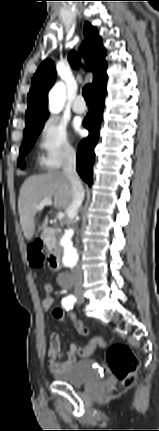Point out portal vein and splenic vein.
<instances>
[{
	"label": "portal vein and splenic vein",
	"instance_id": "obj_1",
	"mask_svg": "<svg viewBox=\"0 0 159 431\" xmlns=\"http://www.w3.org/2000/svg\"><path fill=\"white\" fill-rule=\"evenodd\" d=\"M53 204L52 200L50 198H44L37 206V210H43L45 206H51ZM64 218L63 212H58L57 219L62 220Z\"/></svg>",
	"mask_w": 159,
	"mask_h": 431
}]
</instances>
